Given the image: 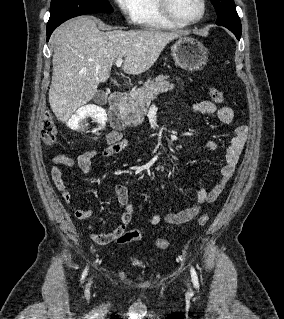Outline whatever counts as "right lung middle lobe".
Masks as SVG:
<instances>
[{"label": "right lung middle lobe", "instance_id": "dd1d6c3e", "mask_svg": "<svg viewBox=\"0 0 284 319\" xmlns=\"http://www.w3.org/2000/svg\"><path fill=\"white\" fill-rule=\"evenodd\" d=\"M93 12H113L108 0H51L47 29L59 26L66 20Z\"/></svg>", "mask_w": 284, "mask_h": 319}]
</instances>
